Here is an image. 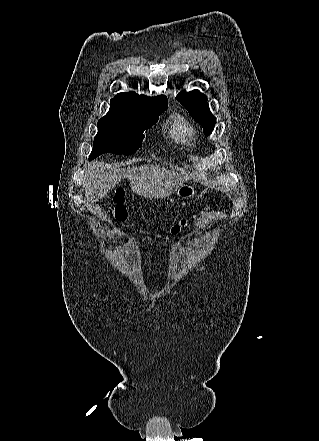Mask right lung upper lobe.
Masks as SVG:
<instances>
[{
    "label": "right lung upper lobe",
    "instance_id": "1",
    "mask_svg": "<svg viewBox=\"0 0 319 441\" xmlns=\"http://www.w3.org/2000/svg\"><path fill=\"white\" fill-rule=\"evenodd\" d=\"M167 98L164 95L157 97H145L135 92L119 93L111 99L112 110H131V109H155L167 105Z\"/></svg>",
    "mask_w": 319,
    "mask_h": 441
}]
</instances>
